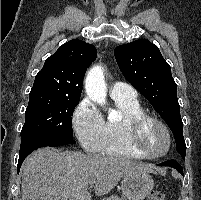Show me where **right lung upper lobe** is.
<instances>
[{"mask_svg": "<svg viewBox=\"0 0 201 200\" xmlns=\"http://www.w3.org/2000/svg\"><path fill=\"white\" fill-rule=\"evenodd\" d=\"M96 56V48L84 41L73 39L63 44L46 59L30 93L80 98L85 72Z\"/></svg>", "mask_w": 201, "mask_h": 200, "instance_id": "obj_1", "label": "right lung upper lobe"}]
</instances>
